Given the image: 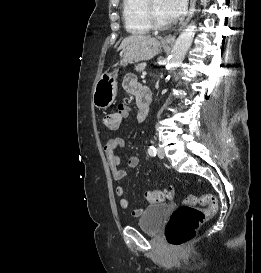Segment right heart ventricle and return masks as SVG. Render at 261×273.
Here are the masks:
<instances>
[{"label":"right heart ventricle","instance_id":"e07e8e85","mask_svg":"<svg viewBox=\"0 0 261 273\" xmlns=\"http://www.w3.org/2000/svg\"><path fill=\"white\" fill-rule=\"evenodd\" d=\"M145 0H123L122 15L126 30L131 34H146L151 26L145 16Z\"/></svg>","mask_w":261,"mask_h":273}]
</instances>
